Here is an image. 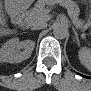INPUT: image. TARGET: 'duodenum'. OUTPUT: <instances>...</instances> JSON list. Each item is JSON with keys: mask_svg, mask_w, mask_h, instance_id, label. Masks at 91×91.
I'll return each instance as SVG.
<instances>
[{"mask_svg": "<svg viewBox=\"0 0 91 91\" xmlns=\"http://www.w3.org/2000/svg\"><path fill=\"white\" fill-rule=\"evenodd\" d=\"M13 16H14V20H15V23L18 25V26H22L24 24V15H23V12L21 11H18V10H15L13 11Z\"/></svg>", "mask_w": 91, "mask_h": 91, "instance_id": "duodenum-1", "label": "duodenum"}]
</instances>
